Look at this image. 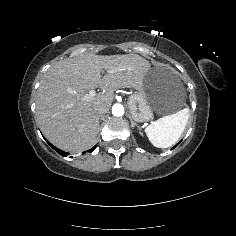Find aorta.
<instances>
[{
	"mask_svg": "<svg viewBox=\"0 0 236 236\" xmlns=\"http://www.w3.org/2000/svg\"><path fill=\"white\" fill-rule=\"evenodd\" d=\"M112 114L116 117L122 116L124 114V107L121 104L113 105Z\"/></svg>",
	"mask_w": 236,
	"mask_h": 236,
	"instance_id": "762f6f07",
	"label": "aorta"
}]
</instances>
